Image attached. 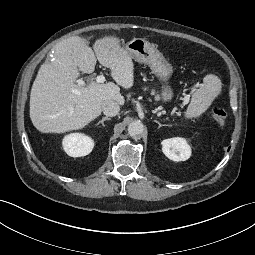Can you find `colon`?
<instances>
[{
	"label": "colon",
	"mask_w": 255,
	"mask_h": 255,
	"mask_svg": "<svg viewBox=\"0 0 255 255\" xmlns=\"http://www.w3.org/2000/svg\"><path fill=\"white\" fill-rule=\"evenodd\" d=\"M212 116L220 126H224L227 120L225 110L217 103H214L210 109Z\"/></svg>",
	"instance_id": "colon-1"
}]
</instances>
